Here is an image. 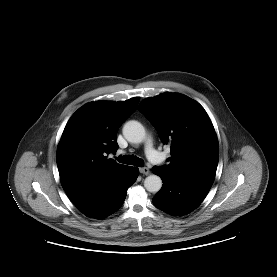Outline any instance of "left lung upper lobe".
<instances>
[{
	"label": "left lung upper lobe",
	"mask_w": 277,
	"mask_h": 277,
	"mask_svg": "<svg viewBox=\"0 0 277 277\" xmlns=\"http://www.w3.org/2000/svg\"><path fill=\"white\" fill-rule=\"evenodd\" d=\"M138 109L171 145L169 165L161 168L184 178L214 181L219 159L218 139L203 107L187 96L167 93L143 100Z\"/></svg>",
	"instance_id": "1"
}]
</instances>
